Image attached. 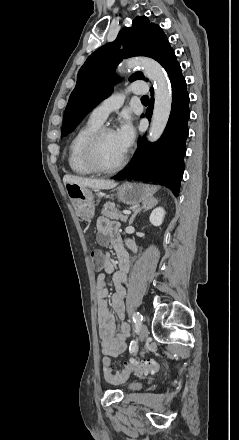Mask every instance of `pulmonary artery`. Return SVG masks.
Masks as SVG:
<instances>
[{
    "mask_svg": "<svg viewBox=\"0 0 239 440\" xmlns=\"http://www.w3.org/2000/svg\"><path fill=\"white\" fill-rule=\"evenodd\" d=\"M129 91L136 94H141L145 91V88L141 87L139 85V82H135L129 87ZM122 103L123 97L119 95L106 98L93 108L92 112L90 113L89 119L98 124H102L106 120L108 114L111 111L120 108L122 106Z\"/></svg>",
    "mask_w": 239,
    "mask_h": 440,
    "instance_id": "e3ab8cb5",
    "label": "pulmonary artery"
}]
</instances>
